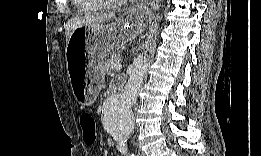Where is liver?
<instances>
[{"mask_svg": "<svg viewBox=\"0 0 261 156\" xmlns=\"http://www.w3.org/2000/svg\"><path fill=\"white\" fill-rule=\"evenodd\" d=\"M112 19H116L113 12L108 13H94L81 16H75L68 20L65 27L66 45L73 31L76 29L86 27L92 28L100 25L108 24Z\"/></svg>", "mask_w": 261, "mask_h": 156, "instance_id": "liver-1", "label": "liver"}]
</instances>
